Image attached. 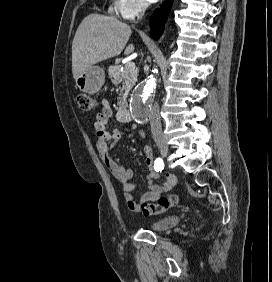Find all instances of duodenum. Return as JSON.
Here are the masks:
<instances>
[{
  "instance_id": "410a0bca",
  "label": "duodenum",
  "mask_w": 272,
  "mask_h": 282,
  "mask_svg": "<svg viewBox=\"0 0 272 282\" xmlns=\"http://www.w3.org/2000/svg\"><path fill=\"white\" fill-rule=\"evenodd\" d=\"M128 107V101L127 100H123L120 103V117L123 120H128L130 118V113L127 109Z\"/></svg>"
}]
</instances>
